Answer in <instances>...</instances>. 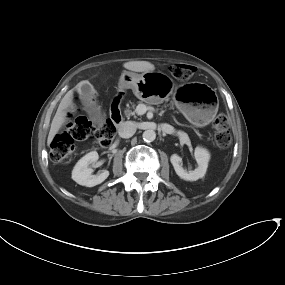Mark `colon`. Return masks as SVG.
<instances>
[{"label":"colon","instance_id":"colon-1","mask_svg":"<svg viewBox=\"0 0 285 285\" xmlns=\"http://www.w3.org/2000/svg\"><path fill=\"white\" fill-rule=\"evenodd\" d=\"M170 75L180 81L189 80L195 73V67L187 64H171ZM117 125L107 120L96 128L86 117L73 118L62 132L54 137L51 143L50 157L56 164L65 163L73 155L75 144L93 139L96 147L108 146L116 134ZM211 136L220 148H226L231 140L229 121L225 115H218L211 128Z\"/></svg>","mask_w":285,"mask_h":285}]
</instances>
